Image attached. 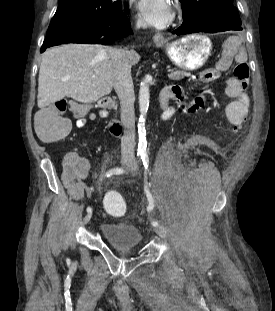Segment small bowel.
<instances>
[{
  "mask_svg": "<svg viewBox=\"0 0 275 311\" xmlns=\"http://www.w3.org/2000/svg\"><path fill=\"white\" fill-rule=\"evenodd\" d=\"M223 54L220 60H213V67H218L215 69H201L198 75L199 79L205 81H211L218 76L219 70H225L227 67H232V60L235 59L236 62H244L246 60L244 47L241 41L235 38H228L226 41V46L223 48ZM226 97L231 101L226 106V118L230 124L229 132L237 133L238 128L242 125L244 119L248 113L249 97L245 92L241 82L236 77H231L226 86L225 90ZM194 100L187 101L184 90L180 86H168L164 88L161 92L162 97H166L169 100H174L181 106L184 112L194 113L200 112V109L205 104V98L201 97L200 92L194 93ZM163 106L164 109V119L170 118L175 110L173 107L168 105ZM84 108L76 111L80 114L76 120V126L78 128H83L87 123V118L83 113ZM108 113L104 110H100L97 113H91L88 116L89 120H95L98 117L106 118ZM221 132H214L213 137L216 139L217 143H224L227 139L228 134L224 127L220 128ZM62 156L67 157L66 160H61V167L65 169L60 170V175L62 180H65V186L69 194L75 199H81L84 195V185L79 180H85L89 172V164L82 157L78 155L77 150H63Z\"/></svg>",
  "mask_w": 275,
  "mask_h": 311,
  "instance_id": "obj_1",
  "label": "small bowel"
}]
</instances>
